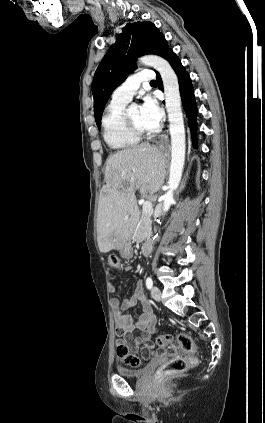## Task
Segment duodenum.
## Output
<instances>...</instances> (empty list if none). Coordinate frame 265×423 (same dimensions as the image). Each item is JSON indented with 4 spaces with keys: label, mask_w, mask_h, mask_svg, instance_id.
<instances>
[{
    "label": "duodenum",
    "mask_w": 265,
    "mask_h": 423,
    "mask_svg": "<svg viewBox=\"0 0 265 423\" xmlns=\"http://www.w3.org/2000/svg\"><path fill=\"white\" fill-rule=\"evenodd\" d=\"M153 249H154V241L148 240L142 248V253L145 257H150L153 253Z\"/></svg>",
    "instance_id": "410a0bca"
}]
</instances>
